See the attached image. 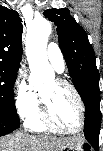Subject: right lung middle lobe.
Listing matches in <instances>:
<instances>
[{"instance_id": "1", "label": "right lung middle lobe", "mask_w": 103, "mask_h": 151, "mask_svg": "<svg viewBox=\"0 0 103 151\" xmlns=\"http://www.w3.org/2000/svg\"><path fill=\"white\" fill-rule=\"evenodd\" d=\"M19 66L0 64V114L19 120L14 101V83Z\"/></svg>"}]
</instances>
